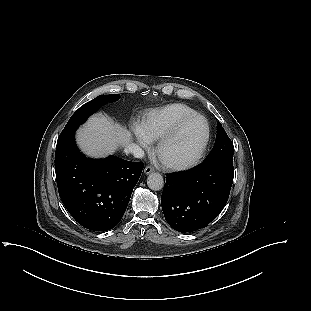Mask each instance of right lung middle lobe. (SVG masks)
Instances as JSON below:
<instances>
[{"label":"right lung middle lobe","mask_w":311,"mask_h":311,"mask_svg":"<svg viewBox=\"0 0 311 311\" xmlns=\"http://www.w3.org/2000/svg\"><path fill=\"white\" fill-rule=\"evenodd\" d=\"M119 94L100 95L95 99L81 106L69 119L62 133L60 134L57 143H61L74 135L78 126L86 121V119L96 112L101 106L119 100Z\"/></svg>","instance_id":"1"}]
</instances>
